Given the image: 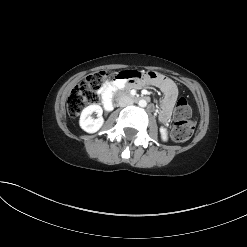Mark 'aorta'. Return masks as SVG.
<instances>
[{
	"label": "aorta",
	"instance_id": "aorta-1",
	"mask_svg": "<svg viewBox=\"0 0 247 247\" xmlns=\"http://www.w3.org/2000/svg\"><path fill=\"white\" fill-rule=\"evenodd\" d=\"M138 105L140 107H146L147 106V102H146V100L141 99V100H139Z\"/></svg>",
	"mask_w": 247,
	"mask_h": 247
}]
</instances>
